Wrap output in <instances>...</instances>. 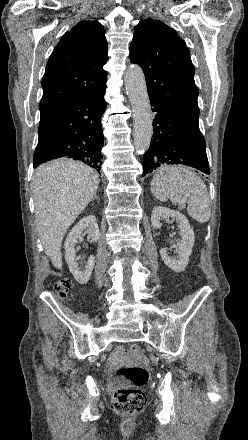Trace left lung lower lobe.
Returning <instances> with one entry per match:
<instances>
[{
    "label": "left lung lower lobe",
    "mask_w": 248,
    "mask_h": 440,
    "mask_svg": "<svg viewBox=\"0 0 248 440\" xmlns=\"http://www.w3.org/2000/svg\"><path fill=\"white\" fill-rule=\"evenodd\" d=\"M154 134L144 155L143 176L163 165L183 164L210 174L205 139L199 126L193 125L150 99Z\"/></svg>",
    "instance_id": "1"
}]
</instances>
